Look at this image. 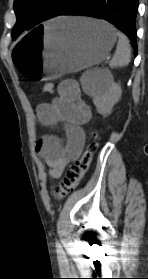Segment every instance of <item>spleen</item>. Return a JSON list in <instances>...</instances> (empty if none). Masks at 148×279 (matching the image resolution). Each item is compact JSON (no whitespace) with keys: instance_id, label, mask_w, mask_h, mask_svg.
Here are the masks:
<instances>
[{"instance_id":"1","label":"spleen","mask_w":148,"mask_h":279,"mask_svg":"<svg viewBox=\"0 0 148 279\" xmlns=\"http://www.w3.org/2000/svg\"><path fill=\"white\" fill-rule=\"evenodd\" d=\"M119 40L117 43L114 57L110 61V67H123L127 66L131 59V48L128 38L121 32L116 33ZM98 70L87 72L81 78L83 88L89 94H98L102 91V80L96 76Z\"/></svg>"}]
</instances>
